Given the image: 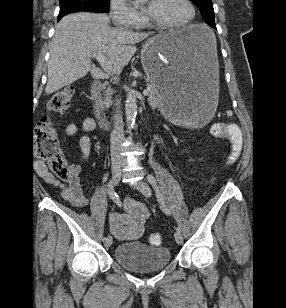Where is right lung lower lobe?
Segmentation results:
<instances>
[{"label": "right lung lower lobe", "mask_w": 286, "mask_h": 308, "mask_svg": "<svg viewBox=\"0 0 286 308\" xmlns=\"http://www.w3.org/2000/svg\"><path fill=\"white\" fill-rule=\"evenodd\" d=\"M67 13H59L58 20H60Z\"/></svg>", "instance_id": "1"}]
</instances>
